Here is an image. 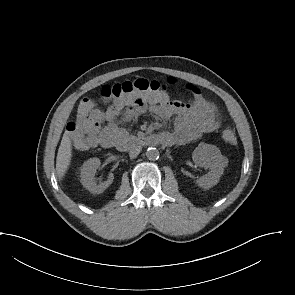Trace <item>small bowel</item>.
<instances>
[{"label":"small bowel","instance_id":"obj_1","mask_svg":"<svg viewBox=\"0 0 295 295\" xmlns=\"http://www.w3.org/2000/svg\"><path fill=\"white\" fill-rule=\"evenodd\" d=\"M171 84L174 79H169ZM191 100H172L164 90L151 93H131L114 99L106 110L95 108L83 122L67 124V132L74 147L84 151L95 146L112 147L126 136L121 123L131 121L144 113L162 121L174 119L173 129L162 132L169 145H183L199 139L203 134L217 130L221 118L217 107L196 88Z\"/></svg>","mask_w":295,"mask_h":295}]
</instances>
